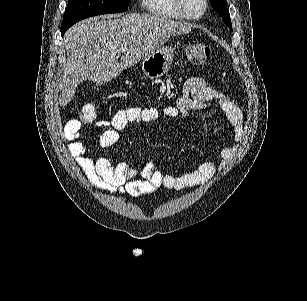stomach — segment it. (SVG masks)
I'll use <instances>...</instances> for the list:
<instances>
[{
	"label": "stomach",
	"mask_w": 307,
	"mask_h": 301,
	"mask_svg": "<svg viewBox=\"0 0 307 301\" xmlns=\"http://www.w3.org/2000/svg\"><path fill=\"white\" fill-rule=\"evenodd\" d=\"M174 48L160 46L142 60V70L147 78H159L170 68L174 58Z\"/></svg>",
	"instance_id": "stomach-1"
}]
</instances>
